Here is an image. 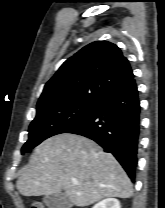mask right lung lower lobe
<instances>
[{"mask_svg": "<svg viewBox=\"0 0 165 208\" xmlns=\"http://www.w3.org/2000/svg\"><path fill=\"white\" fill-rule=\"evenodd\" d=\"M66 133L97 142L115 156L134 181L140 133V102L134 78L101 98L90 114Z\"/></svg>", "mask_w": 165, "mask_h": 208, "instance_id": "98d812e1", "label": "right lung lower lobe"}]
</instances>
